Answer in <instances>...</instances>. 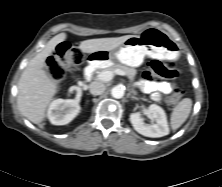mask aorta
Masks as SVG:
<instances>
[{
	"instance_id": "762f6f07",
	"label": "aorta",
	"mask_w": 222,
	"mask_h": 187,
	"mask_svg": "<svg viewBox=\"0 0 222 187\" xmlns=\"http://www.w3.org/2000/svg\"><path fill=\"white\" fill-rule=\"evenodd\" d=\"M112 97L120 99L124 96V89L121 86H115L111 90Z\"/></svg>"
}]
</instances>
